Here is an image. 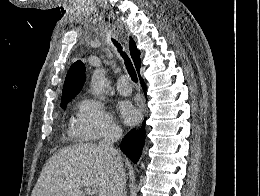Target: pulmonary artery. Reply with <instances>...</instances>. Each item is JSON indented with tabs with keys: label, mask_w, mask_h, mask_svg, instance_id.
<instances>
[{
	"label": "pulmonary artery",
	"mask_w": 260,
	"mask_h": 196,
	"mask_svg": "<svg viewBox=\"0 0 260 196\" xmlns=\"http://www.w3.org/2000/svg\"><path fill=\"white\" fill-rule=\"evenodd\" d=\"M115 83L117 84V90L123 95H129L133 90V85H130V81L125 79H116Z\"/></svg>",
	"instance_id": "obj_1"
}]
</instances>
